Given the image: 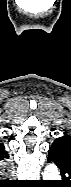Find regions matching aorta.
Segmentation results:
<instances>
[{
  "mask_svg": "<svg viewBox=\"0 0 71 187\" xmlns=\"http://www.w3.org/2000/svg\"><path fill=\"white\" fill-rule=\"evenodd\" d=\"M58 168L54 164H49L44 169L43 180H60Z\"/></svg>",
  "mask_w": 71,
  "mask_h": 187,
  "instance_id": "762f6f07",
  "label": "aorta"
}]
</instances>
